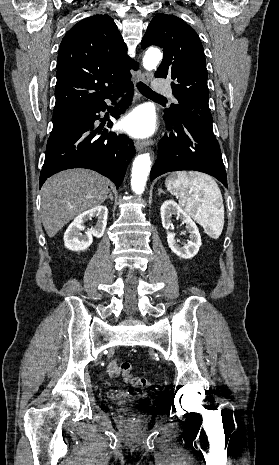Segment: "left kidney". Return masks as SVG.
<instances>
[{
    "mask_svg": "<svg viewBox=\"0 0 279 465\" xmlns=\"http://www.w3.org/2000/svg\"><path fill=\"white\" fill-rule=\"evenodd\" d=\"M172 215H177L190 233V240L183 247L177 244L174 234L169 232L172 225ZM161 221L162 226L167 230V242L173 253L183 259H190L198 253L202 244L199 230L192 218L174 200L163 202L161 206Z\"/></svg>",
    "mask_w": 279,
    "mask_h": 465,
    "instance_id": "left-kidney-1",
    "label": "left kidney"
}]
</instances>
